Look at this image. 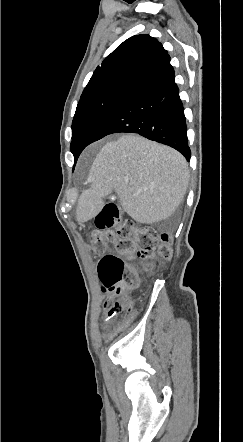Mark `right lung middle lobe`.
<instances>
[{"instance_id":"obj_1","label":"right lung middle lobe","mask_w":243,"mask_h":442,"mask_svg":"<svg viewBox=\"0 0 243 442\" xmlns=\"http://www.w3.org/2000/svg\"><path fill=\"white\" fill-rule=\"evenodd\" d=\"M131 91H115L79 102L72 122L71 152L75 163L113 108Z\"/></svg>"}]
</instances>
